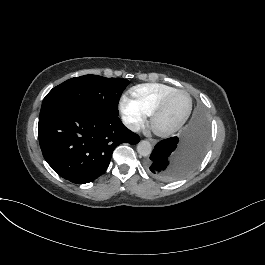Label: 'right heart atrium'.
<instances>
[{"label": "right heart atrium", "mask_w": 265, "mask_h": 265, "mask_svg": "<svg viewBox=\"0 0 265 265\" xmlns=\"http://www.w3.org/2000/svg\"><path fill=\"white\" fill-rule=\"evenodd\" d=\"M121 108L129 117V125L132 129H140L146 123V113L143 108L128 97H123Z\"/></svg>", "instance_id": "d8ad5b80"}]
</instances>
